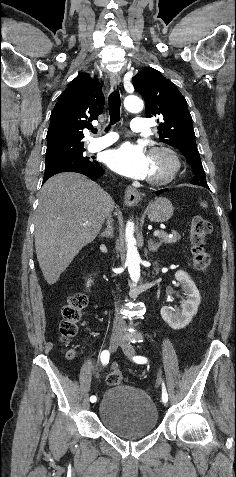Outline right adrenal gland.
<instances>
[{"instance_id": "obj_1", "label": "right adrenal gland", "mask_w": 236, "mask_h": 477, "mask_svg": "<svg viewBox=\"0 0 236 477\" xmlns=\"http://www.w3.org/2000/svg\"><path fill=\"white\" fill-rule=\"evenodd\" d=\"M106 224H107V228L103 233H101L100 236L101 237H106V238H111L113 236V232H114V230H113V220H112L111 216H108Z\"/></svg>"}]
</instances>
